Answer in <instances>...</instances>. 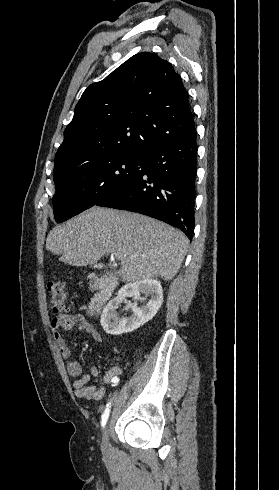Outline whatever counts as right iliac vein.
<instances>
[{
  "instance_id": "obj_1",
  "label": "right iliac vein",
  "mask_w": 279,
  "mask_h": 490,
  "mask_svg": "<svg viewBox=\"0 0 279 490\" xmlns=\"http://www.w3.org/2000/svg\"><path fill=\"white\" fill-rule=\"evenodd\" d=\"M116 394L110 399L109 403L114 405ZM109 427L106 425L102 435V452L108 458L111 454V444L109 442Z\"/></svg>"
}]
</instances>
